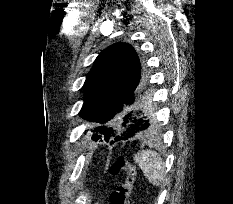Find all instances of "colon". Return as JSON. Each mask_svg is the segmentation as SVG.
<instances>
[{
    "label": "colon",
    "mask_w": 233,
    "mask_h": 204,
    "mask_svg": "<svg viewBox=\"0 0 233 204\" xmlns=\"http://www.w3.org/2000/svg\"><path fill=\"white\" fill-rule=\"evenodd\" d=\"M108 172L111 176L125 175V180L117 185L110 194L111 203L129 204V197L137 176L134 164L123 157H119L110 165Z\"/></svg>",
    "instance_id": "1"
}]
</instances>
